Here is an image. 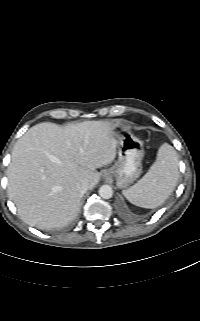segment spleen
Masks as SVG:
<instances>
[{
	"mask_svg": "<svg viewBox=\"0 0 200 321\" xmlns=\"http://www.w3.org/2000/svg\"><path fill=\"white\" fill-rule=\"evenodd\" d=\"M179 176L178 154L171 145L163 143L158 149L156 161L148 172L122 193L130 203L153 209L171 195Z\"/></svg>",
	"mask_w": 200,
	"mask_h": 321,
	"instance_id": "spleen-1",
	"label": "spleen"
}]
</instances>
